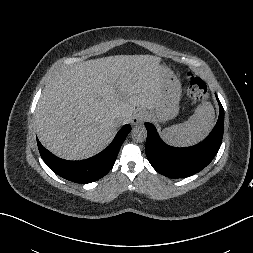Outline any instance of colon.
I'll list each match as a JSON object with an SVG mask.
<instances>
[{
	"instance_id": "5ec220e1",
	"label": "colon",
	"mask_w": 253,
	"mask_h": 253,
	"mask_svg": "<svg viewBox=\"0 0 253 253\" xmlns=\"http://www.w3.org/2000/svg\"><path fill=\"white\" fill-rule=\"evenodd\" d=\"M188 94L194 102H202L208 97V88L206 82L194 72L187 74Z\"/></svg>"
}]
</instances>
